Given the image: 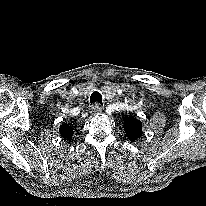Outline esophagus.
<instances>
[{"label": "esophagus", "mask_w": 206, "mask_h": 206, "mask_svg": "<svg viewBox=\"0 0 206 206\" xmlns=\"http://www.w3.org/2000/svg\"><path fill=\"white\" fill-rule=\"evenodd\" d=\"M102 112V106L100 104H94L91 108L92 115H98Z\"/></svg>", "instance_id": "1"}]
</instances>
